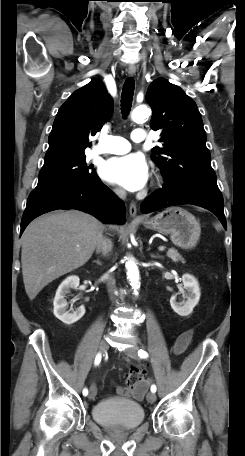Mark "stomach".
I'll return each mask as SVG.
<instances>
[{
  "label": "stomach",
  "instance_id": "0dacf381",
  "mask_svg": "<svg viewBox=\"0 0 245 456\" xmlns=\"http://www.w3.org/2000/svg\"><path fill=\"white\" fill-rule=\"evenodd\" d=\"M145 228L170 235L174 245L191 249L197 244L201 227L199 221L181 207H170L150 219L142 220Z\"/></svg>",
  "mask_w": 245,
  "mask_h": 456
}]
</instances>
